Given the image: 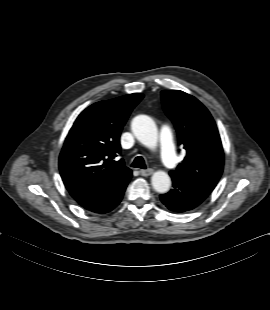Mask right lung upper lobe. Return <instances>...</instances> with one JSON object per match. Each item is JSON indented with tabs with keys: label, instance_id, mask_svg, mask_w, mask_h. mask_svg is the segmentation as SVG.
Wrapping results in <instances>:
<instances>
[{
	"label": "right lung upper lobe",
	"instance_id": "right-lung-upper-lobe-1",
	"mask_svg": "<svg viewBox=\"0 0 270 310\" xmlns=\"http://www.w3.org/2000/svg\"><path fill=\"white\" fill-rule=\"evenodd\" d=\"M143 95L133 93L97 102L85 109L70 129L59 158L62 180L70 195L95 193L131 170L120 154V134Z\"/></svg>",
	"mask_w": 270,
	"mask_h": 310
}]
</instances>
